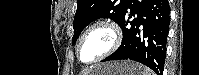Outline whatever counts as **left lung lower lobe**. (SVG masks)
I'll list each match as a JSON object with an SVG mask.
<instances>
[{
	"label": "left lung lower lobe",
	"instance_id": "1",
	"mask_svg": "<svg viewBox=\"0 0 199 75\" xmlns=\"http://www.w3.org/2000/svg\"><path fill=\"white\" fill-rule=\"evenodd\" d=\"M168 0H130L119 24L123 31L121 46L103 61L130 59L163 75L169 32ZM132 16H136L129 21Z\"/></svg>",
	"mask_w": 199,
	"mask_h": 75
}]
</instances>
